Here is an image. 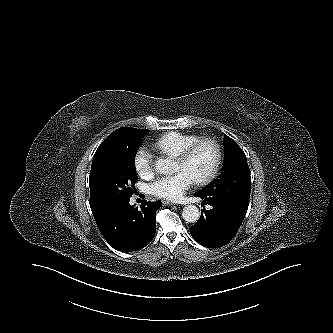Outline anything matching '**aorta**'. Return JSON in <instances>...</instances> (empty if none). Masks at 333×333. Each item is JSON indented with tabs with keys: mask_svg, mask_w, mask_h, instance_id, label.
<instances>
[{
	"mask_svg": "<svg viewBox=\"0 0 333 333\" xmlns=\"http://www.w3.org/2000/svg\"><path fill=\"white\" fill-rule=\"evenodd\" d=\"M156 171L160 174H169L174 170V162L171 159H158L155 164ZM183 219L194 223L200 217L199 209L195 205H187L182 211Z\"/></svg>",
	"mask_w": 333,
	"mask_h": 333,
	"instance_id": "aorta-1",
	"label": "aorta"
}]
</instances>
